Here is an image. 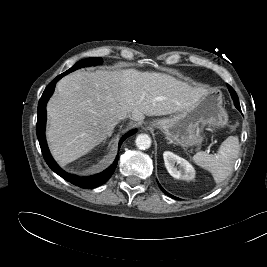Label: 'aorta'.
I'll use <instances>...</instances> for the list:
<instances>
[{
	"label": "aorta",
	"instance_id": "762f6f07",
	"mask_svg": "<svg viewBox=\"0 0 267 267\" xmlns=\"http://www.w3.org/2000/svg\"><path fill=\"white\" fill-rule=\"evenodd\" d=\"M135 143L139 149L145 150L151 146V138L147 134H139L136 137Z\"/></svg>",
	"mask_w": 267,
	"mask_h": 267
}]
</instances>
